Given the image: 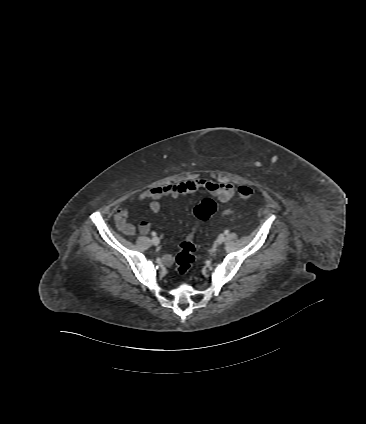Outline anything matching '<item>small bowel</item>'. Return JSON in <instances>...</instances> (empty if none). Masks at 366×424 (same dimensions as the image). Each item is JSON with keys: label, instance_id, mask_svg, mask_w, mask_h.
Wrapping results in <instances>:
<instances>
[{"label": "small bowel", "instance_id": "small-bowel-1", "mask_svg": "<svg viewBox=\"0 0 366 424\" xmlns=\"http://www.w3.org/2000/svg\"><path fill=\"white\" fill-rule=\"evenodd\" d=\"M198 190H204L222 202L230 201L236 193L235 186L230 182H217L205 178H191L176 184H166L146 189L132 198L131 203L149 201L150 212L156 214L161 208L160 200L162 198L167 196L177 198L182 195L192 194ZM233 212V209H225L223 214L229 215ZM128 213V206L119 208L115 214V223L121 233L133 237L136 234V228L129 222ZM138 230L142 234L148 233L150 230V223L147 221L140 222ZM162 261L164 265L169 266L172 264L173 258L170 255H166L163 257Z\"/></svg>", "mask_w": 366, "mask_h": 424}]
</instances>
